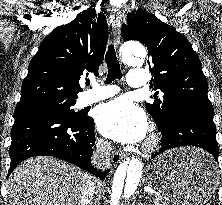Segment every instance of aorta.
<instances>
[{"label":"aorta","mask_w":222,"mask_h":205,"mask_svg":"<svg viewBox=\"0 0 222 205\" xmlns=\"http://www.w3.org/2000/svg\"><path fill=\"white\" fill-rule=\"evenodd\" d=\"M146 50L140 43H127L123 47V62L130 66L142 64ZM143 174V163L139 158L132 157L121 163L112 180L110 205H119L131 198L138 189Z\"/></svg>","instance_id":"762f6f07"}]
</instances>
